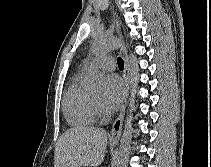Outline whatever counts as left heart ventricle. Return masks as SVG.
Segmentation results:
<instances>
[{
  "instance_id": "1",
  "label": "left heart ventricle",
  "mask_w": 211,
  "mask_h": 167,
  "mask_svg": "<svg viewBox=\"0 0 211 167\" xmlns=\"http://www.w3.org/2000/svg\"><path fill=\"white\" fill-rule=\"evenodd\" d=\"M95 101L101 106L102 108V99H103V93L101 91L95 92L92 94Z\"/></svg>"
}]
</instances>
